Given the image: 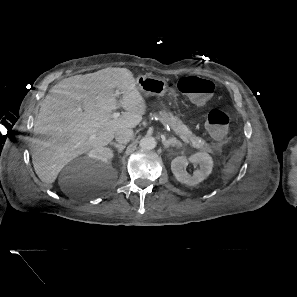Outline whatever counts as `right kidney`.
Here are the masks:
<instances>
[{
    "mask_svg": "<svg viewBox=\"0 0 297 297\" xmlns=\"http://www.w3.org/2000/svg\"><path fill=\"white\" fill-rule=\"evenodd\" d=\"M113 156V151L107 147L94 148L88 153V157L90 159L106 164H109L111 162Z\"/></svg>",
    "mask_w": 297,
    "mask_h": 297,
    "instance_id": "obj_1",
    "label": "right kidney"
}]
</instances>
